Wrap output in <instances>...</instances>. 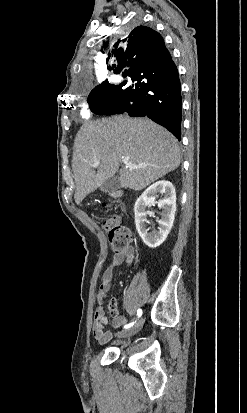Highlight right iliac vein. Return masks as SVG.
Returning <instances> with one entry per match:
<instances>
[{
  "mask_svg": "<svg viewBox=\"0 0 247 413\" xmlns=\"http://www.w3.org/2000/svg\"><path fill=\"white\" fill-rule=\"evenodd\" d=\"M144 324V319H141L137 324H135L133 327H131L128 330L120 331L118 333V337L122 338H129L133 335H135L143 326Z\"/></svg>",
  "mask_w": 247,
  "mask_h": 413,
  "instance_id": "obj_1",
  "label": "right iliac vein"
}]
</instances>
